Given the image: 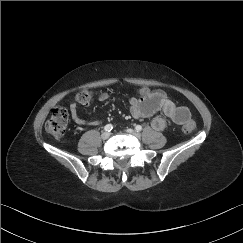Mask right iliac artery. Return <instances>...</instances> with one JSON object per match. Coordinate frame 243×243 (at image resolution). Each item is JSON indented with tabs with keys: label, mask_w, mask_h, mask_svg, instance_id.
Listing matches in <instances>:
<instances>
[{
	"label": "right iliac artery",
	"mask_w": 243,
	"mask_h": 243,
	"mask_svg": "<svg viewBox=\"0 0 243 243\" xmlns=\"http://www.w3.org/2000/svg\"><path fill=\"white\" fill-rule=\"evenodd\" d=\"M112 129H113L112 124H107V125L104 127V130H105V131H108V132H110Z\"/></svg>",
	"instance_id": "1"
}]
</instances>
